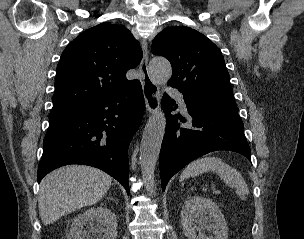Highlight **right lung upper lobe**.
<instances>
[{
  "label": "right lung upper lobe",
  "instance_id": "obj_1",
  "mask_svg": "<svg viewBox=\"0 0 304 239\" xmlns=\"http://www.w3.org/2000/svg\"><path fill=\"white\" fill-rule=\"evenodd\" d=\"M142 55L124 26L104 22L82 32L58 63L49 119L76 112L134 83L125 74L140 63Z\"/></svg>",
  "mask_w": 304,
  "mask_h": 239
}]
</instances>
